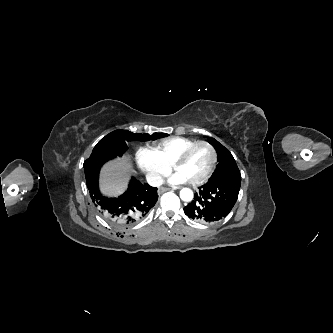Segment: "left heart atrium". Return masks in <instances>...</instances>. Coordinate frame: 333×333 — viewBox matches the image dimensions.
<instances>
[{
    "mask_svg": "<svg viewBox=\"0 0 333 333\" xmlns=\"http://www.w3.org/2000/svg\"><path fill=\"white\" fill-rule=\"evenodd\" d=\"M169 182L173 185H180V184H184L187 181V179L180 173L175 172L174 174L171 175V177L169 178Z\"/></svg>",
    "mask_w": 333,
    "mask_h": 333,
    "instance_id": "39dd6f15",
    "label": "left heart atrium"
}]
</instances>
